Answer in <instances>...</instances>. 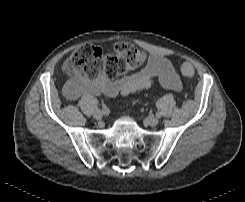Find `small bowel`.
I'll use <instances>...</instances> for the list:
<instances>
[{"label":"small bowel","mask_w":245,"mask_h":202,"mask_svg":"<svg viewBox=\"0 0 245 202\" xmlns=\"http://www.w3.org/2000/svg\"><path fill=\"white\" fill-rule=\"evenodd\" d=\"M156 80L164 88L173 91L183 89L182 82L170 62L160 55H153L142 69L121 80L113 81L105 76H99L96 79H75L74 87L68 93L67 100L74 103L92 95L105 94L110 97L126 95L149 88Z\"/></svg>","instance_id":"1"}]
</instances>
